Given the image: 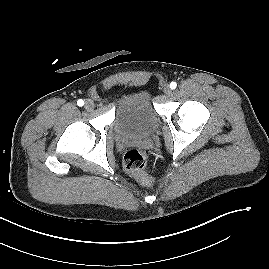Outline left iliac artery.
<instances>
[{
  "instance_id": "left-iliac-artery-1",
  "label": "left iliac artery",
  "mask_w": 269,
  "mask_h": 269,
  "mask_svg": "<svg viewBox=\"0 0 269 269\" xmlns=\"http://www.w3.org/2000/svg\"><path fill=\"white\" fill-rule=\"evenodd\" d=\"M177 87V83L176 82H171L170 83V88L171 89H175Z\"/></svg>"
}]
</instances>
